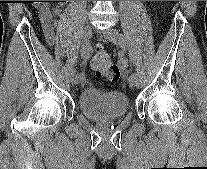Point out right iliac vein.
<instances>
[{
  "label": "right iliac vein",
  "mask_w": 207,
  "mask_h": 169,
  "mask_svg": "<svg viewBox=\"0 0 207 169\" xmlns=\"http://www.w3.org/2000/svg\"><path fill=\"white\" fill-rule=\"evenodd\" d=\"M92 35V29L90 25H86L82 33V42L86 45L89 42V39ZM71 84H76L78 82L77 74L75 70H72L69 76Z\"/></svg>",
  "instance_id": "right-iliac-vein-1"
}]
</instances>
